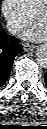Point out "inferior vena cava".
I'll list each match as a JSON object with an SVG mask.
<instances>
[{
	"label": "inferior vena cava",
	"instance_id": "1",
	"mask_svg": "<svg viewBox=\"0 0 47 129\" xmlns=\"http://www.w3.org/2000/svg\"><path fill=\"white\" fill-rule=\"evenodd\" d=\"M22 25L13 21H8L6 24V29L11 34H17L22 29Z\"/></svg>",
	"mask_w": 47,
	"mask_h": 129
}]
</instances>
